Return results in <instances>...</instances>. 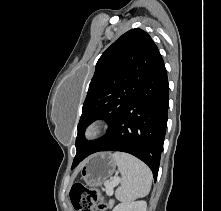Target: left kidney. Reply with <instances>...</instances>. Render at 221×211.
I'll return each instance as SVG.
<instances>
[{
	"label": "left kidney",
	"mask_w": 221,
	"mask_h": 211,
	"mask_svg": "<svg viewBox=\"0 0 221 211\" xmlns=\"http://www.w3.org/2000/svg\"><path fill=\"white\" fill-rule=\"evenodd\" d=\"M145 201H125L114 207L112 211H146Z\"/></svg>",
	"instance_id": "1"
}]
</instances>
